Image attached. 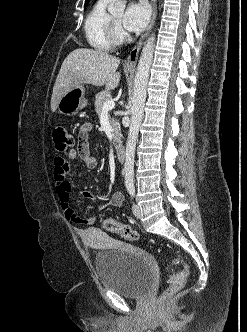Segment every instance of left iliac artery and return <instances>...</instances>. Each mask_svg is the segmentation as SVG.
Instances as JSON below:
<instances>
[{"label":"left iliac artery","instance_id":"44dca946","mask_svg":"<svg viewBox=\"0 0 247 332\" xmlns=\"http://www.w3.org/2000/svg\"><path fill=\"white\" fill-rule=\"evenodd\" d=\"M129 193H130V195L133 197L134 194H135V191H134V190H130Z\"/></svg>","mask_w":247,"mask_h":332}]
</instances>
